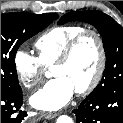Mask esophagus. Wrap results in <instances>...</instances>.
I'll return each mask as SVG.
<instances>
[{
	"label": "esophagus",
	"instance_id": "obj_1",
	"mask_svg": "<svg viewBox=\"0 0 123 123\" xmlns=\"http://www.w3.org/2000/svg\"><path fill=\"white\" fill-rule=\"evenodd\" d=\"M41 116L44 118V119H53L57 116L56 113H46V112H43L41 113Z\"/></svg>",
	"mask_w": 123,
	"mask_h": 123
}]
</instances>
